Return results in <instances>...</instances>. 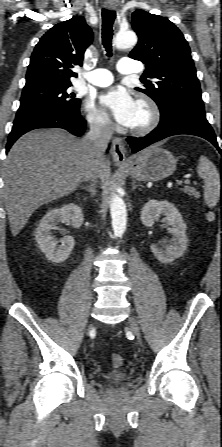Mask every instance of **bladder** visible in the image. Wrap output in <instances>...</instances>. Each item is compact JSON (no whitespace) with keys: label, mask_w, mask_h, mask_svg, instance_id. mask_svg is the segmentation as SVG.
Returning <instances> with one entry per match:
<instances>
[{"label":"bladder","mask_w":222,"mask_h":447,"mask_svg":"<svg viewBox=\"0 0 222 447\" xmlns=\"http://www.w3.org/2000/svg\"><path fill=\"white\" fill-rule=\"evenodd\" d=\"M130 375L124 371H113L104 375L105 381L112 387H122L129 381Z\"/></svg>","instance_id":"obj_1"}]
</instances>
